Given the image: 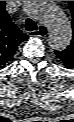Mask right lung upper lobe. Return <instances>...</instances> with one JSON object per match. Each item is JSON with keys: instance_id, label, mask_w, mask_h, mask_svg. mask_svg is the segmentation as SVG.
<instances>
[{"instance_id": "1", "label": "right lung upper lobe", "mask_w": 74, "mask_h": 122, "mask_svg": "<svg viewBox=\"0 0 74 122\" xmlns=\"http://www.w3.org/2000/svg\"><path fill=\"white\" fill-rule=\"evenodd\" d=\"M27 39L28 36L11 21L5 1H0V68L12 59L18 45Z\"/></svg>"}]
</instances>
